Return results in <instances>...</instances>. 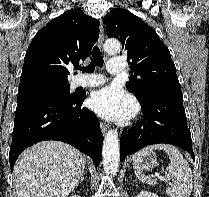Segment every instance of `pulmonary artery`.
<instances>
[{
    "mask_svg": "<svg viewBox=\"0 0 209 197\" xmlns=\"http://www.w3.org/2000/svg\"><path fill=\"white\" fill-rule=\"evenodd\" d=\"M107 71L110 74H120L123 71V61L119 57L113 58L108 62ZM105 82V79L101 75H87L85 77H79L76 79V85L87 87V86H98Z\"/></svg>",
    "mask_w": 209,
    "mask_h": 197,
    "instance_id": "1",
    "label": "pulmonary artery"
}]
</instances>
